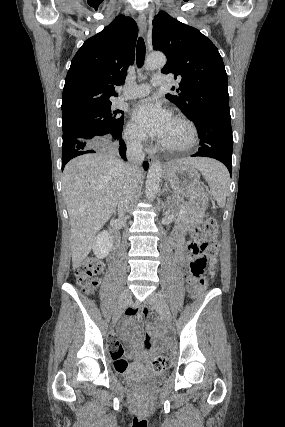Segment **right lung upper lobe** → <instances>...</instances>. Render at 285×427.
I'll return each instance as SVG.
<instances>
[{"label":"right lung upper lobe","mask_w":285,"mask_h":427,"mask_svg":"<svg viewBox=\"0 0 285 427\" xmlns=\"http://www.w3.org/2000/svg\"><path fill=\"white\" fill-rule=\"evenodd\" d=\"M138 27L123 15L87 39L71 61L62 96L63 116L110 104L134 61Z\"/></svg>","instance_id":"obj_1"}]
</instances>
